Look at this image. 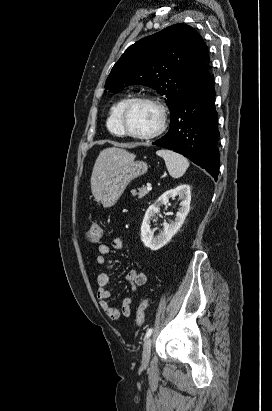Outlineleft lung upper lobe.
Returning a JSON list of instances; mask_svg holds the SVG:
<instances>
[{
  "label": "left lung upper lobe",
  "mask_w": 272,
  "mask_h": 411,
  "mask_svg": "<svg viewBox=\"0 0 272 411\" xmlns=\"http://www.w3.org/2000/svg\"><path fill=\"white\" fill-rule=\"evenodd\" d=\"M209 76L208 47L190 26L175 24L126 49L113 66L105 89L115 93L145 85L164 95L170 117L181 101Z\"/></svg>",
  "instance_id": "obj_1"
}]
</instances>
